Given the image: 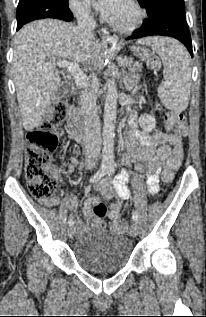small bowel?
Instances as JSON below:
<instances>
[{
  "label": "small bowel",
  "instance_id": "obj_1",
  "mask_svg": "<svg viewBox=\"0 0 206 317\" xmlns=\"http://www.w3.org/2000/svg\"><path fill=\"white\" fill-rule=\"evenodd\" d=\"M134 127L127 135V147L131 155L138 158L144 164L138 165V169L145 172V181L148 192L150 194L157 193L159 186V168L162 161L168 158L172 147L181 146V138L175 134L154 132L152 134L142 132L136 129L134 119L131 120ZM128 160V158H126ZM55 176H58L57 170H52ZM128 174L122 172L111 186H105L102 182L94 185L96 190L102 192L107 198H115V202L111 205L109 218L112 222L119 220L121 213L124 210V203L129 198L130 192L126 186ZM60 203L58 198H52L45 201V204L51 207L58 206ZM99 203L98 197H92L86 200L83 206V213L88 218V223L84 224L80 219H75L78 234L85 235L89 228H103L105 223L101 218H98L92 209V206ZM70 210L76 211L78 202L71 195L67 202Z\"/></svg>",
  "mask_w": 206,
  "mask_h": 317
}]
</instances>
